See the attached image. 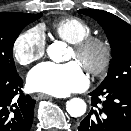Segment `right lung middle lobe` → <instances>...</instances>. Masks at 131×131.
Masks as SVG:
<instances>
[{
  "instance_id": "dd1d6c3e",
  "label": "right lung middle lobe",
  "mask_w": 131,
  "mask_h": 131,
  "mask_svg": "<svg viewBox=\"0 0 131 131\" xmlns=\"http://www.w3.org/2000/svg\"><path fill=\"white\" fill-rule=\"evenodd\" d=\"M39 14L28 13H0V73H16L13 59V45L25 26L39 19Z\"/></svg>"
}]
</instances>
